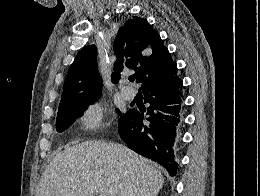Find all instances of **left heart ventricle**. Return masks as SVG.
I'll return each instance as SVG.
<instances>
[{
  "instance_id": "b2bd125f",
  "label": "left heart ventricle",
  "mask_w": 260,
  "mask_h": 196,
  "mask_svg": "<svg viewBox=\"0 0 260 196\" xmlns=\"http://www.w3.org/2000/svg\"><path fill=\"white\" fill-rule=\"evenodd\" d=\"M98 192H109L108 190H97ZM54 192H64V190H54Z\"/></svg>"
}]
</instances>
